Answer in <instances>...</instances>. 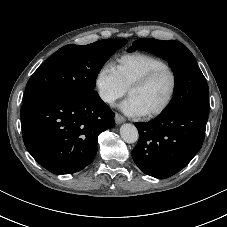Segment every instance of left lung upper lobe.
<instances>
[{"instance_id": "obj_1", "label": "left lung upper lobe", "mask_w": 227, "mask_h": 227, "mask_svg": "<svg viewBox=\"0 0 227 227\" xmlns=\"http://www.w3.org/2000/svg\"><path fill=\"white\" fill-rule=\"evenodd\" d=\"M151 52L168 61L174 75L175 87L173 99L162 114L180 110H195L208 114L209 88L193 54L182 43L141 38L128 49Z\"/></svg>"}]
</instances>
